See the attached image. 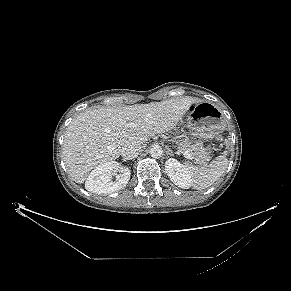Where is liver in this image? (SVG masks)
Segmentation results:
<instances>
[{
    "mask_svg": "<svg viewBox=\"0 0 291 291\" xmlns=\"http://www.w3.org/2000/svg\"><path fill=\"white\" fill-rule=\"evenodd\" d=\"M193 97L121 108H93L73 118L64 135L63 160L69 175L82 184L98 165L117 159L126 144H145L172 130L188 109L201 103ZM132 123V127H127Z\"/></svg>",
    "mask_w": 291,
    "mask_h": 291,
    "instance_id": "liver-1",
    "label": "liver"
}]
</instances>
